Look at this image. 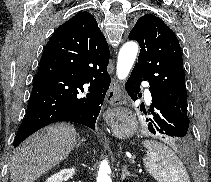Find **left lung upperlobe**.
I'll use <instances>...</instances> for the list:
<instances>
[{
  "instance_id": "left-lung-upper-lobe-1",
  "label": "left lung upper lobe",
  "mask_w": 211,
  "mask_h": 182,
  "mask_svg": "<svg viewBox=\"0 0 211 182\" xmlns=\"http://www.w3.org/2000/svg\"><path fill=\"white\" fill-rule=\"evenodd\" d=\"M140 45L138 71L150 87L187 114V91L182 53L174 32L158 17L146 14L129 34Z\"/></svg>"
}]
</instances>
